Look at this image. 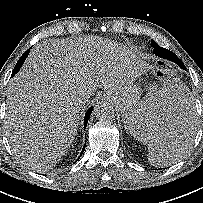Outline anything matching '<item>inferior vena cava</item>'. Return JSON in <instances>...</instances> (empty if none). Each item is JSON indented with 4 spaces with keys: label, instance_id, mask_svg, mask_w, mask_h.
Listing matches in <instances>:
<instances>
[{
    "label": "inferior vena cava",
    "instance_id": "obj_1",
    "mask_svg": "<svg viewBox=\"0 0 203 203\" xmlns=\"http://www.w3.org/2000/svg\"><path fill=\"white\" fill-rule=\"evenodd\" d=\"M83 102H84L83 99H80V100H79V103H83Z\"/></svg>",
    "mask_w": 203,
    "mask_h": 203
}]
</instances>
